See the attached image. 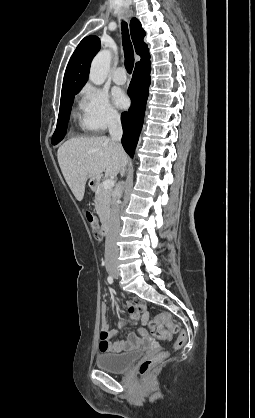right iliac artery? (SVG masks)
I'll list each match as a JSON object with an SVG mask.
<instances>
[{
  "instance_id": "82829eb1",
  "label": "right iliac artery",
  "mask_w": 255,
  "mask_h": 418,
  "mask_svg": "<svg viewBox=\"0 0 255 418\" xmlns=\"http://www.w3.org/2000/svg\"><path fill=\"white\" fill-rule=\"evenodd\" d=\"M107 280H108V283L109 284H112L113 283V277L112 276H108Z\"/></svg>"
}]
</instances>
